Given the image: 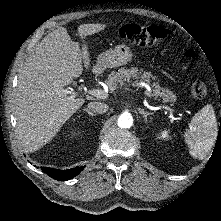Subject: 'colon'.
Returning a JSON list of instances; mask_svg holds the SVG:
<instances>
[{
  "label": "colon",
  "instance_id": "1",
  "mask_svg": "<svg viewBox=\"0 0 221 221\" xmlns=\"http://www.w3.org/2000/svg\"><path fill=\"white\" fill-rule=\"evenodd\" d=\"M170 35V30L160 25L142 26L138 24H125L118 29V36L124 41L134 45L150 46ZM184 58L188 61L195 59L196 55L191 50L183 52ZM189 91L195 98H204L207 94V87L200 79L193 80L189 84Z\"/></svg>",
  "mask_w": 221,
  "mask_h": 221
}]
</instances>
